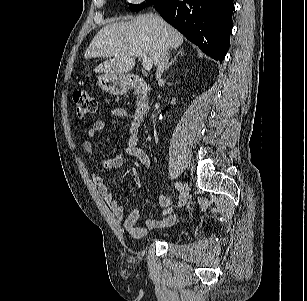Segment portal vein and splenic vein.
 Returning <instances> with one entry per match:
<instances>
[{
	"instance_id": "obj_1",
	"label": "portal vein and splenic vein",
	"mask_w": 307,
	"mask_h": 301,
	"mask_svg": "<svg viewBox=\"0 0 307 301\" xmlns=\"http://www.w3.org/2000/svg\"><path fill=\"white\" fill-rule=\"evenodd\" d=\"M135 56L142 59V65L146 71H149L152 69L153 61L150 57H147V55L142 53L141 51L135 52Z\"/></svg>"
}]
</instances>
